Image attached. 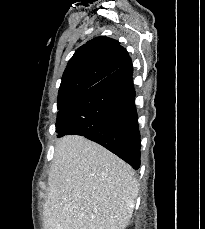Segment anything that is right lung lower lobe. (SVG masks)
I'll list each match as a JSON object with an SVG mask.
<instances>
[{
    "label": "right lung lower lobe",
    "mask_w": 205,
    "mask_h": 229,
    "mask_svg": "<svg viewBox=\"0 0 205 229\" xmlns=\"http://www.w3.org/2000/svg\"><path fill=\"white\" fill-rule=\"evenodd\" d=\"M132 72L129 58L112 74L60 109L56 120L57 137L85 136L137 170L140 167V133Z\"/></svg>",
    "instance_id": "98d812e1"
}]
</instances>
